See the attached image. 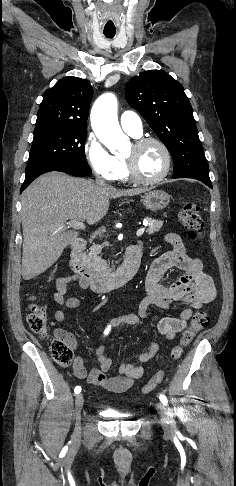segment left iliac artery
Listing matches in <instances>:
<instances>
[{
  "instance_id": "44dca946",
  "label": "left iliac artery",
  "mask_w": 236,
  "mask_h": 486,
  "mask_svg": "<svg viewBox=\"0 0 236 486\" xmlns=\"http://www.w3.org/2000/svg\"><path fill=\"white\" fill-rule=\"evenodd\" d=\"M159 399H160V401H161V402H162L164 405H167V404H168V400H167V398H166V396H165V395L161 394V395L159 396Z\"/></svg>"
}]
</instances>
